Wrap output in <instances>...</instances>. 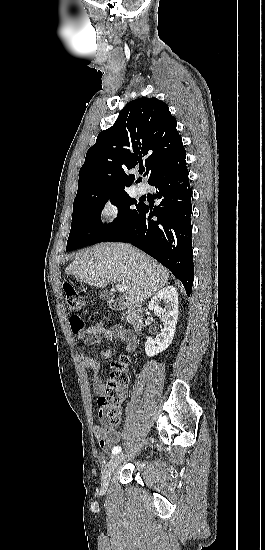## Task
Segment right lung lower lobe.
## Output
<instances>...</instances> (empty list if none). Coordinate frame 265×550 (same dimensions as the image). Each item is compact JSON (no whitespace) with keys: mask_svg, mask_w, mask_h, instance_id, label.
Listing matches in <instances>:
<instances>
[{"mask_svg":"<svg viewBox=\"0 0 265 550\" xmlns=\"http://www.w3.org/2000/svg\"><path fill=\"white\" fill-rule=\"evenodd\" d=\"M185 159L183 148L148 182L158 189L159 206L143 204L137 216L106 241L127 242L143 250L171 270L190 296L194 278L192 189Z\"/></svg>","mask_w":265,"mask_h":550,"instance_id":"1","label":"right lung lower lobe"}]
</instances>
